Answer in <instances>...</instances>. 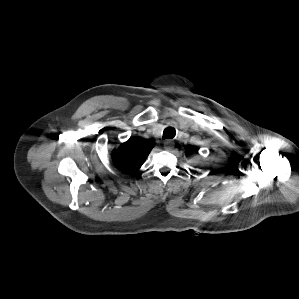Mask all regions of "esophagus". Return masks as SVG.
<instances>
[{"label": "esophagus", "mask_w": 299, "mask_h": 299, "mask_svg": "<svg viewBox=\"0 0 299 299\" xmlns=\"http://www.w3.org/2000/svg\"><path fill=\"white\" fill-rule=\"evenodd\" d=\"M172 147H173V142H172L171 140H166V141L164 142V148H165L166 150H171Z\"/></svg>", "instance_id": "esophagus-1"}]
</instances>
